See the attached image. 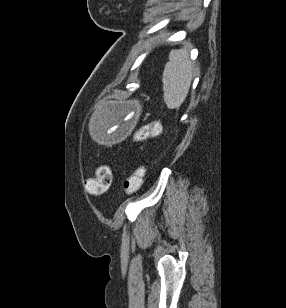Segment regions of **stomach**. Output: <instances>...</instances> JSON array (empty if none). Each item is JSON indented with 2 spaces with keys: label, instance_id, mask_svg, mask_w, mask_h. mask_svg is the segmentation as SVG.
Returning a JSON list of instances; mask_svg holds the SVG:
<instances>
[{
  "label": "stomach",
  "instance_id": "1",
  "mask_svg": "<svg viewBox=\"0 0 286 308\" xmlns=\"http://www.w3.org/2000/svg\"><path fill=\"white\" fill-rule=\"evenodd\" d=\"M130 100H102L104 112H92L91 118L96 125H89L93 144H130V125H133L135 113Z\"/></svg>",
  "mask_w": 286,
  "mask_h": 308
}]
</instances>
